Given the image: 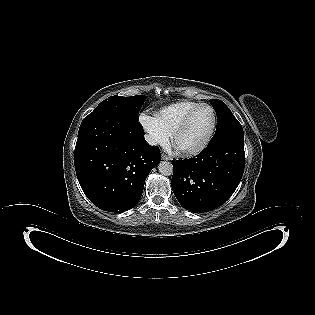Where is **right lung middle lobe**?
<instances>
[{"label":"right lung middle lobe","instance_id":"right-lung-middle-lobe-1","mask_svg":"<svg viewBox=\"0 0 315 315\" xmlns=\"http://www.w3.org/2000/svg\"><path fill=\"white\" fill-rule=\"evenodd\" d=\"M146 97L144 95H136L132 97L112 96L102 101L93 111L109 112L118 117L137 123L139 120V111Z\"/></svg>","mask_w":315,"mask_h":315}]
</instances>
